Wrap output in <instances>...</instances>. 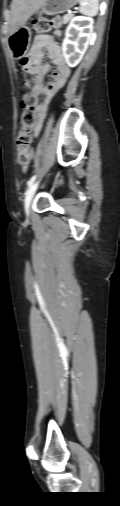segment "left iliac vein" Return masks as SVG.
Returning <instances> with one entry per match:
<instances>
[{"mask_svg":"<svg viewBox=\"0 0 120 506\" xmlns=\"http://www.w3.org/2000/svg\"><path fill=\"white\" fill-rule=\"evenodd\" d=\"M37 187H38V182H35L27 191L26 193V196H25V200H24V208H25V212L26 214H29V211H30V205H31V202H32V199H33V196L37 190Z\"/></svg>","mask_w":120,"mask_h":506,"instance_id":"1","label":"left iliac vein"}]
</instances>
